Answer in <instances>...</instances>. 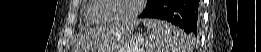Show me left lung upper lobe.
Here are the masks:
<instances>
[{"mask_svg": "<svg viewBox=\"0 0 261 52\" xmlns=\"http://www.w3.org/2000/svg\"><path fill=\"white\" fill-rule=\"evenodd\" d=\"M153 0H148V5L152 2Z\"/></svg>", "mask_w": 261, "mask_h": 52, "instance_id": "left-lung-upper-lobe-1", "label": "left lung upper lobe"}]
</instances>
